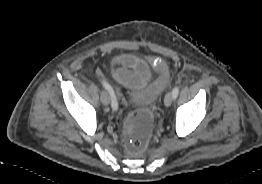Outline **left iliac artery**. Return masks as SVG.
<instances>
[{"instance_id": "1", "label": "left iliac artery", "mask_w": 262, "mask_h": 184, "mask_svg": "<svg viewBox=\"0 0 262 184\" xmlns=\"http://www.w3.org/2000/svg\"><path fill=\"white\" fill-rule=\"evenodd\" d=\"M178 94H179V87L176 86V87L173 89V91H172L173 99H176L177 96H178Z\"/></svg>"}]
</instances>
